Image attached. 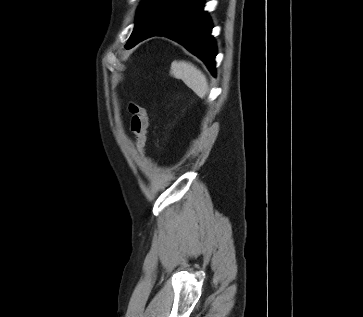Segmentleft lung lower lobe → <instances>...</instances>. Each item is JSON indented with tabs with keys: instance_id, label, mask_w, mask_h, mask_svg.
Masks as SVG:
<instances>
[{
	"instance_id": "1",
	"label": "left lung lower lobe",
	"mask_w": 363,
	"mask_h": 317,
	"mask_svg": "<svg viewBox=\"0 0 363 317\" xmlns=\"http://www.w3.org/2000/svg\"><path fill=\"white\" fill-rule=\"evenodd\" d=\"M203 7V0H158L145 32L133 46L155 35L167 36L199 57L215 76L216 45Z\"/></svg>"
}]
</instances>
